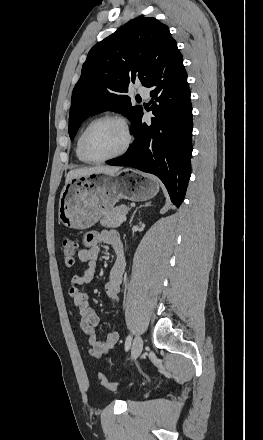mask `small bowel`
<instances>
[{
    "instance_id": "1",
    "label": "small bowel",
    "mask_w": 263,
    "mask_h": 440,
    "mask_svg": "<svg viewBox=\"0 0 263 440\" xmlns=\"http://www.w3.org/2000/svg\"><path fill=\"white\" fill-rule=\"evenodd\" d=\"M83 244L84 247L77 251V257L81 262L86 263V268L82 274L74 275L71 278L69 296L78 310L80 328L89 344L90 355L101 357L115 347L119 340V333L113 331L104 340L96 336L95 329L99 324V318L89 303V296L85 288L94 279L98 265L100 244H108L113 247L117 257L110 270L105 291L110 302L118 304L120 301V285L126 268V259L120 235L115 230L89 232L84 236Z\"/></svg>"
}]
</instances>
